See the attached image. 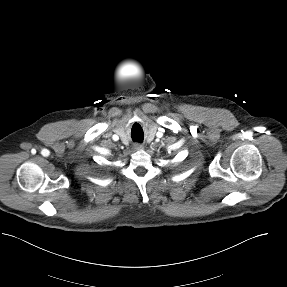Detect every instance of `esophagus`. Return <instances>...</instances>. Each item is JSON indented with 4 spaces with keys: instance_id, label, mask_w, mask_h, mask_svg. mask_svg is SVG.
Wrapping results in <instances>:
<instances>
[{
    "instance_id": "1",
    "label": "esophagus",
    "mask_w": 287,
    "mask_h": 287,
    "mask_svg": "<svg viewBox=\"0 0 287 287\" xmlns=\"http://www.w3.org/2000/svg\"><path fill=\"white\" fill-rule=\"evenodd\" d=\"M142 145L141 144H139V143H136L135 145H134V150H140V149H142Z\"/></svg>"
}]
</instances>
